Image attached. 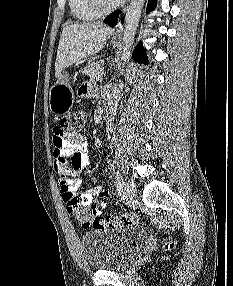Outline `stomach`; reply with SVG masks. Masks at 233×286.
<instances>
[{
  "label": "stomach",
  "mask_w": 233,
  "mask_h": 286,
  "mask_svg": "<svg viewBox=\"0 0 233 286\" xmlns=\"http://www.w3.org/2000/svg\"><path fill=\"white\" fill-rule=\"evenodd\" d=\"M116 45L117 42L113 41V46L115 47ZM70 79L69 73L63 71L50 90V111L57 116L67 113L74 102L73 83Z\"/></svg>",
  "instance_id": "0dacf381"
}]
</instances>
